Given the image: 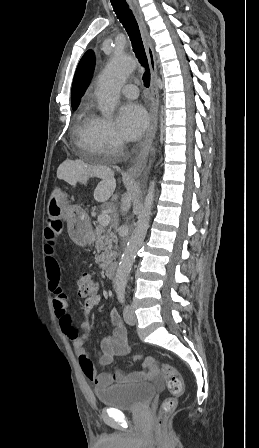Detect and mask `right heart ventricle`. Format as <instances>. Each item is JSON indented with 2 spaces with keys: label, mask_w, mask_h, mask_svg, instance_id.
I'll return each mask as SVG.
<instances>
[{
  "label": "right heart ventricle",
  "mask_w": 259,
  "mask_h": 448,
  "mask_svg": "<svg viewBox=\"0 0 259 448\" xmlns=\"http://www.w3.org/2000/svg\"><path fill=\"white\" fill-rule=\"evenodd\" d=\"M100 121L99 115L94 111L91 103L85 101L75 118V131L80 146L87 153L80 156H86V163H100L102 158L96 152V132Z\"/></svg>",
  "instance_id": "e07e8e85"
}]
</instances>
